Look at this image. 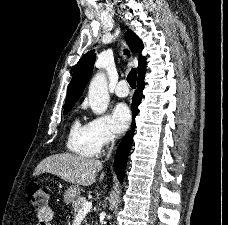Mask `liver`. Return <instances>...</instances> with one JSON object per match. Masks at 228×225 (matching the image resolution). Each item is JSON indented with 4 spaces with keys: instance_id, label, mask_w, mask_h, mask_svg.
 Listing matches in <instances>:
<instances>
[{
    "instance_id": "liver-1",
    "label": "liver",
    "mask_w": 228,
    "mask_h": 225,
    "mask_svg": "<svg viewBox=\"0 0 228 225\" xmlns=\"http://www.w3.org/2000/svg\"><path fill=\"white\" fill-rule=\"evenodd\" d=\"M103 165L95 159H85L79 155H51L43 159L37 165L34 175H42V173H51L57 175L63 181L71 183V185H83L89 187L95 183L96 175L102 171ZM103 177V175H102ZM101 177V179H102Z\"/></svg>"
}]
</instances>
